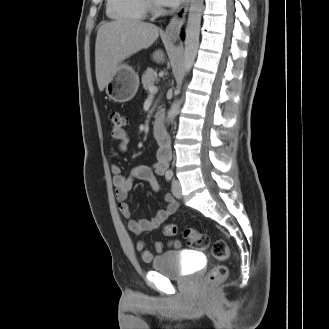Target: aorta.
<instances>
[{"label":"aorta","instance_id":"762f6f07","mask_svg":"<svg viewBox=\"0 0 329 329\" xmlns=\"http://www.w3.org/2000/svg\"><path fill=\"white\" fill-rule=\"evenodd\" d=\"M203 11V0H191L188 13V21L186 26V38H185V51H184V63L183 74L190 72L199 47V35L201 16ZM180 101L176 100L170 110L167 113V122L170 123L174 120L179 112Z\"/></svg>","mask_w":329,"mask_h":329}]
</instances>
